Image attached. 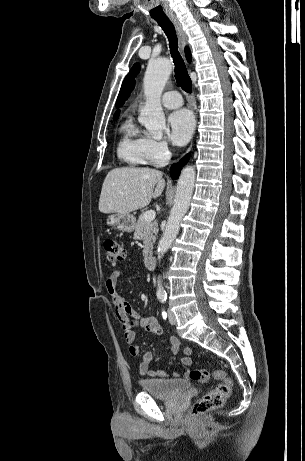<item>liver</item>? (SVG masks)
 Wrapping results in <instances>:
<instances>
[{"label":"liver","mask_w":305,"mask_h":461,"mask_svg":"<svg viewBox=\"0 0 305 461\" xmlns=\"http://www.w3.org/2000/svg\"><path fill=\"white\" fill-rule=\"evenodd\" d=\"M156 186V187H155ZM165 188L162 172L150 168H115L108 172L101 190L102 213L129 214L147 206Z\"/></svg>","instance_id":"1"}]
</instances>
